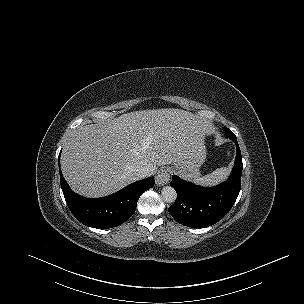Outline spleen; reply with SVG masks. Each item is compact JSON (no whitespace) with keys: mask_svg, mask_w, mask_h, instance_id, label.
I'll return each mask as SVG.
<instances>
[{"mask_svg":"<svg viewBox=\"0 0 304 304\" xmlns=\"http://www.w3.org/2000/svg\"><path fill=\"white\" fill-rule=\"evenodd\" d=\"M229 174V169L227 167L218 168L212 173L200 177L198 183L202 185H216L217 183L225 180Z\"/></svg>","mask_w":304,"mask_h":304,"instance_id":"1","label":"spleen"}]
</instances>
